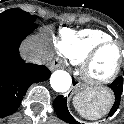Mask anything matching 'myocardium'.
Masks as SVG:
<instances>
[{"label":"myocardium","mask_w":124,"mask_h":124,"mask_svg":"<svg viewBox=\"0 0 124 124\" xmlns=\"http://www.w3.org/2000/svg\"><path fill=\"white\" fill-rule=\"evenodd\" d=\"M108 46H115L118 49L119 61L115 69L109 76L101 79L95 78L91 74V65L95 60L96 56L99 54V52ZM123 66H124V49L116 41L108 40V41H103L98 43L89 51V53L86 55V57L81 63L80 73H81L82 79L90 86L102 87L112 83L120 74Z\"/></svg>","instance_id":"myocardium-1"}]
</instances>
